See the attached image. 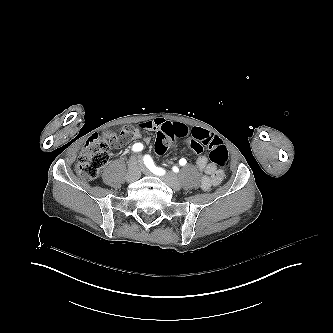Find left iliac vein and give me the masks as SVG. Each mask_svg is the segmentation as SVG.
<instances>
[{
  "label": "left iliac vein",
  "mask_w": 333,
  "mask_h": 333,
  "mask_svg": "<svg viewBox=\"0 0 333 333\" xmlns=\"http://www.w3.org/2000/svg\"><path fill=\"white\" fill-rule=\"evenodd\" d=\"M138 165H139L140 170L144 174H146V175H152L151 171L144 166V164L142 163V160L138 159ZM162 179L173 190L179 191L181 189V184H180L179 179H178L177 176L172 175L171 173H167L166 175H164L162 177Z\"/></svg>",
  "instance_id": "1"
}]
</instances>
